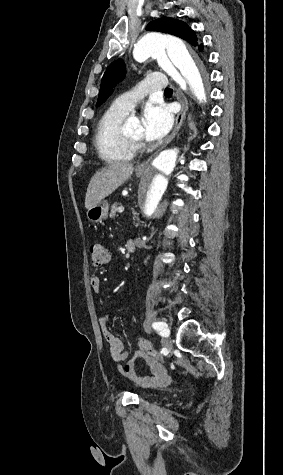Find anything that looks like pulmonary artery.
Here are the masks:
<instances>
[{
	"mask_svg": "<svg viewBox=\"0 0 283 475\" xmlns=\"http://www.w3.org/2000/svg\"><path fill=\"white\" fill-rule=\"evenodd\" d=\"M137 87H129L127 93L119 96L112 104L122 110L130 111L143 96H153L155 89H168V80H138Z\"/></svg>",
	"mask_w": 283,
	"mask_h": 475,
	"instance_id": "obj_1",
	"label": "pulmonary artery"
}]
</instances>
